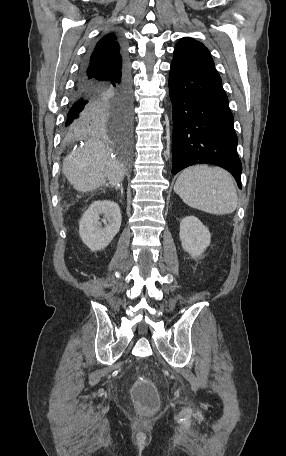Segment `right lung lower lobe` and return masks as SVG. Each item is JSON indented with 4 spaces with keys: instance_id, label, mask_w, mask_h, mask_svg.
<instances>
[{
    "instance_id": "obj_1",
    "label": "right lung lower lobe",
    "mask_w": 286,
    "mask_h": 456,
    "mask_svg": "<svg viewBox=\"0 0 286 456\" xmlns=\"http://www.w3.org/2000/svg\"><path fill=\"white\" fill-rule=\"evenodd\" d=\"M83 64L64 122V134L110 130L128 140L132 132V94L127 69L105 79L91 76ZM120 127H124L120 131Z\"/></svg>"
}]
</instances>
